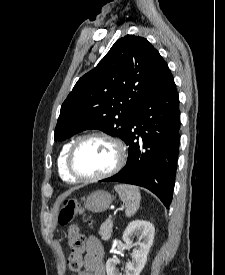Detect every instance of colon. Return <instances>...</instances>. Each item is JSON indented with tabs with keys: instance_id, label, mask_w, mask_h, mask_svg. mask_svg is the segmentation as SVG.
I'll use <instances>...</instances> for the list:
<instances>
[{
	"instance_id": "5ec220e1",
	"label": "colon",
	"mask_w": 225,
	"mask_h": 275,
	"mask_svg": "<svg viewBox=\"0 0 225 275\" xmlns=\"http://www.w3.org/2000/svg\"><path fill=\"white\" fill-rule=\"evenodd\" d=\"M81 212L78 202L73 199H68L64 202L60 210L58 222L61 226L70 225ZM67 244L71 249L67 259V266L71 271L79 272L83 265L82 253L84 251V239L79 229L74 225L68 228Z\"/></svg>"
}]
</instances>
